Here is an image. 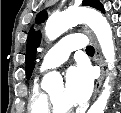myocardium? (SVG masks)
<instances>
[{"instance_id":"f54148a6","label":"myocardium","mask_w":121,"mask_h":113,"mask_svg":"<svg viewBox=\"0 0 121 113\" xmlns=\"http://www.w3.org/2000/svg\"><path fill=\"white\" fill-rule=\"evenodd\" d=\"M47 101L52 113H67L72 109L71 106H59L50 93L47 94Z\"/></svg>"}]
</instances>
